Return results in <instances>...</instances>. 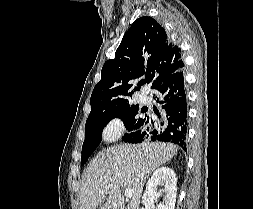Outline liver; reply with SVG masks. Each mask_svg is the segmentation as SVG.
I'll return each instance as SVG.
<instances>
[{"label":"liver","mask_w":253,"mask_h":209,"mask_svg":"<svg viewBox=\"0 0 253 209\" xmlns=\"http://www.w3.org/2000/svg\"><path fill=\"white\" fill-rule=\"evenodd\" d=\"M171 143L119 144L99 153L87 166L79 192L80 209H139L147 177L177 154ZM133 194L125 206L121 190ZM108 195V197H106Z\"/></svg>","instance_id":"obj_1"}]
</instances>
